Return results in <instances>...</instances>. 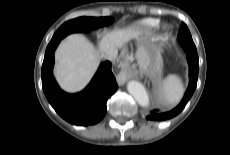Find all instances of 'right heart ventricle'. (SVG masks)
<instances>
[{"label":"right heart ventricle","instance_id":"e07e8e85","mask_svg":"<svg viewBox=\"0 0 230 155\" xmlns=\"http://www.w3.org/2000/svg\"><path fill=\"white\" fill-rule=\"evenodd\" d=\"M157 24L158 20L156 18H144L134 25V29L138 32H145L154 29Z\"/></svg>","mask_w":230,"mask_h":155}]
</instances>
